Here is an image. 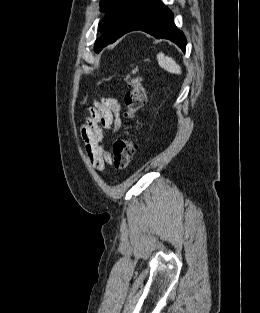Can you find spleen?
Segmentation results:
<instances>
[{
  "instance_id": "3e777b00",
  "label": "spleen",
  "mask_w": 260,
  "mask_h": 313,
  "mask_svg": "<svg viewBox=\"0 0 260 313\" xmlns=\"http://www.w3.org/2000/svg\"><path fill=\"white\" fill-rule=\"evenodd\" d=\"M157 60L160 67L167 72L173 74H181V67L176 63L173 58L165 56L164 53L160 52L157 54Z\"/></svg>"
}]
</instances>
